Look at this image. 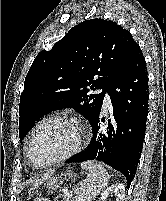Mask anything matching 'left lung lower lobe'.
<instances>
[{"label":"left lung lower lobe","mask_w":166,"mask_h":201,"mask_svg":"<svg viewBox=\"0 0 166 201\" xmlns=\"http://www.w3.org/2000/svg\"><path fill=\"white\" fill-rule=\"evenodd\" d=\"M113 106V117L100 127L102 104L90 121L92 138L88 147L67 160L102 161L121 172L130 184L134 179L146 129L148 114V77L146 63L139 46L130 61L107 90Z\"/></svg>","instance_id":"obj_1"}]
</instances>
